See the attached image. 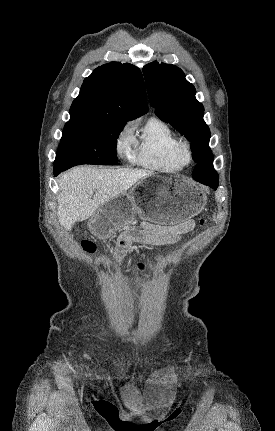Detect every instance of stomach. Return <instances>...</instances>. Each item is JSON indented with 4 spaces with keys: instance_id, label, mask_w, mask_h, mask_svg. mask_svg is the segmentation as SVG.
<instances>
[{
    "instance_id": "1",
    "label": "stomach",
    "mask_w": 275,
    "mask_h": 431,
    "mask_svg": "<svg viewBox=\"0 0 275 431\" xmlns=\"http://www.w3.org/2000/svg\"><path fill=\"white\" fill-rule=\"evenodd\" d=\"M206 204V195L190 181L151 175L129 193L102 204L88 226L94 236L104 239L131 224L137 214L144 220L172 226L198 215Z\"/></svg>"
}]
</instances>
